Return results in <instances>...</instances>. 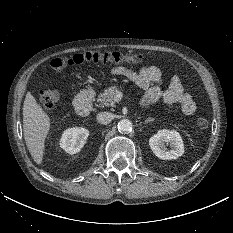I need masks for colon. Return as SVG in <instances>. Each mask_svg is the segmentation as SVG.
Listing matches in <instances>:
<instances>
[{
    "mask_svg": "<svg viewBox=\"0 0 233 233\" xmlns=\"http://www.w3.org/2000/svg\"><path fill=\"white\" fill-rule=\"evenodd\" d=\"M141 53L122 54L120 52H100L97 50H87L68 57H59L51 61L52 68L62 70L68 66L82 64L85 62L93 63H138L143 60ZM59 100V93L55 89H47L40 94V104L44 109L53 108ZM208 120L204 117L197 119V126L200 130L208 128Z\"/></svg>",
    "mask_w": 233,
    "mask_h": 233,
    "instance_id": "5ec220e1",
    "label": "colon"
}]
</instances>
